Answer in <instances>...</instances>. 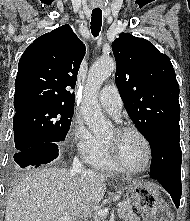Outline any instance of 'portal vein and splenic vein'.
Here are the masks:
<instances>
[{
	"mask_svg": "<svg viewBox=\"0 0 190 221\" xmlns=\"http://www.w3.org/2000/svg\"><path fill=\"white\" fill-rule=\"evenodd\" d=\"M118 207H123V203L119 202V203H118ZM108 211H109L108 208L100 209V210H98V211L95 213V215H96V216H99V217L105 218V217L107 216V214H108ZM69 219H70V217L64 216V217L60 218L59 221H69Z\"/></svg>",
	"mask_w": 190,
	"mask_h": 221,
	"instance_id": "obj_1",
	"label": "portal vein and splenic vein"
}]
</instances>
